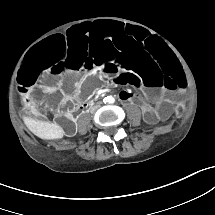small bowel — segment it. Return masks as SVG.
I'll return each mask as SVG.
<instances>
[{
	"label": "small bowel",
	"instance_id": "c3829d8e",
	"mask_svg": "<svg viewBox=\"0 0 215 215\" xmlns=\"http://www.w3.org/2000/svg\"><path fill=\"white\" fill-rule=\"evenodd\" d=\"M123 99H124V100H127V99H128V96H124Z\"/></svg>",
	"mask_w": 215,
	"mask_h": 215
}]
</instances>
